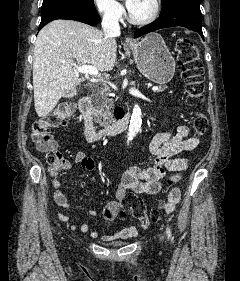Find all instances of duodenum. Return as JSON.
<instances>
[{
    "label": "duodenum",
    "mask_w": 240,
    "mask_h": 281,
    "mask_svg": "<svg viewBox=\"0 0 240 281\" xmlns=\"http://www.w3.org/2000/svg\"><path fill=\"white\" fill-rule=\"evenodd\" d=\"M92 103L89 97L79 101V109L84 120L83 134L88 142H95L102 137L114 136L125 130L129 124L131 113L119 109L115 112L113 120L101 130H96L91 120Z\"/></svg>",
    "instance_id": "1"
}]
</instances>
